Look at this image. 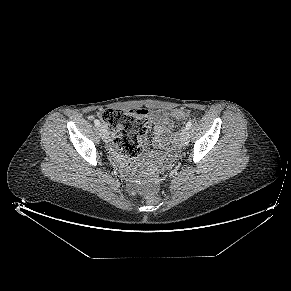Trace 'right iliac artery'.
<instances>
[{
  "label": "right iliac artery",
  "mask_w": 291,
  "mask_h": 291,
  "mask_svg": "<svg viewBox=\"0 0 291 291\" xmlns=\"http://www.w3.org/2000/svg\"><path fill=\"white\" fill-rule=\"evenodd\" d=\"M94 124L99 127L100 126V121L96 119V120H94Z\"/></svg>",
  "instance_id": "82829eb1"
}]
</instances>
